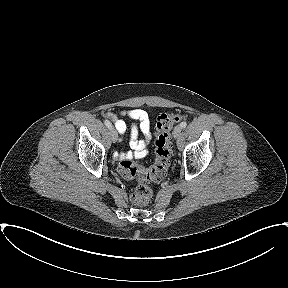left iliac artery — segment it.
Instances as JSON below:
<instances>
[{"mask_svg": "<svg viewBox=\"0 0 288 288\" xmlns=\"http://www.w3.org/2000/svg\"><path fill=\"white\" fill-rule=\"evenodd\" d=\"M186 125H187V123H186L185 121H183V122L180 124V126H181L182 128H185Z\"/></svg>", "mask_w": 288, "mask_h": 288, "instance_id": "left-iliac-artery-1", "label": "left iliac artery"}]
</instances>
